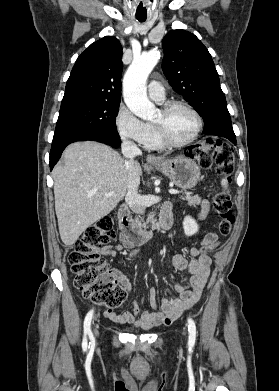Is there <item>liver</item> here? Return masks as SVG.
I'll use <instances>...</instances> for the list:
<instances>
[{
    "label": "liver",
    "mask_w": 279,
    "mask_h": 391,
    "mask_svg": "<svg viewBox=\"0 0 279 391\" xmlns=\"http://www.w3.org/2000/svg\"><path fill=\"white\" fill-rule=\"evenodd\" d=\"M137 173L141 166L135 161ZM55 211L61 240L73 245L92 224L108 215L129 187L126 161L109 146L76 142L63 153V163L53 169ZM114 192L112 196L107 193Z\"/></svg>",
    "instance_id": "6515ba94"
}]
</instances>
